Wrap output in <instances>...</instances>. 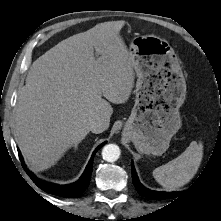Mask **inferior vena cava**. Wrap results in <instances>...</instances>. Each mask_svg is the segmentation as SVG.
<instances>
[{
	"mask_svg": "<svg viewBox=\"0 0 221 221\" xmlns=\"http://www.w3.org/2000/svg\"><path fill=\"white\" fill-rule=\"evenodd\" d=\"M106 128H107L106 123L101 119L92 121L90 123V131L96 134L102 133L104 130H106Z\"/></svg>",
	"mask_w": 221,
	"mask_h": 221,
	"instance_id": "1",
	"label": "inferior vena cava"
}]
</instances>
